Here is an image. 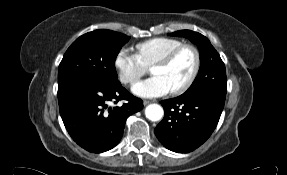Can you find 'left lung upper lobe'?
Wrapping results in <instances>:
<instances>
[{
  "label": "left lung upper lobe",
  "mask_w": 287,
  "mask_h": 175,
  "mask_svg": "<svg viewBox=\"0 0 287 175\" xmlns=\"http://www.w3.org/2000/svg\"><path fill=\"white\" fill-rule=\"evenodd\" d=\"M170 35L190 39L200 51L201 66L198 75L184 94L209 93L225 98L227 93L225 65L210 41L202 34L190 30H181Z\"/></svg>",
  "instance_id": "left-lung-upper-lobe-1"
}]
</instances>
